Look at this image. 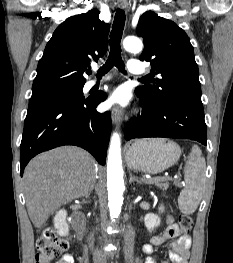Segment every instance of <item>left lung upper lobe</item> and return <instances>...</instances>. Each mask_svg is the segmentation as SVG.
Instances as JSON below:
<instances>
[{"label": "left lung upper lobe", "mask_w": 233, "mask_h": 263, "mask_svg": "<svg viewBox=\"0 0 233 263\" xmlns=\"http://www.w3.org/2000/svg\"><path fill=\"white\" fill-rule=\"evenodd\" d=\"M144 39L141 61H149L155 85L137 87L136 91L151 107L163 105L177 97L201 99L198 66L187 34L173 21L154 12L144 13L137 26Z\"/></svg>", "instance_id": "obj_1"}]
</instances>
